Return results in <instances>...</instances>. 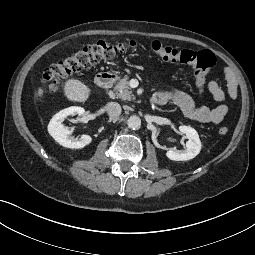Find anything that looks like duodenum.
<instances>
[{
    "mask_svg": "<svg viewBox=\"0 0 255 255\" xmlns=\"http://www.w3.org/2000/svg\"><path fill=\"white\" fill-rule=\"evenodd\" d=\"M115 80L116 74L107 71L99 72L95 78L96 84L103 90L109 89ZM149 104L153 107L157 106V101L154 98H151Z\"/></svg>",
    "mask_w": 255,
    "mask_h": 255,
    "instance_id": "duodenum-1",
    "label": "duodenum"
}]
</instances>
